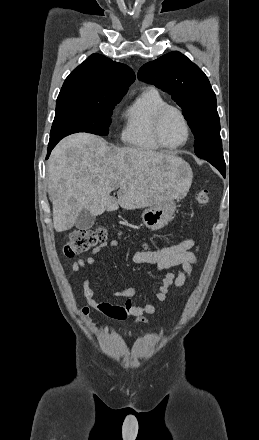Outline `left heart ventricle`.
Returning a JSON list of instances; mask_svg holds the SVG:
<instances>
[{
  "label": "left heart ventricle",
  "instance_id": "left-heart-ventricle-1",
  "mask_svg": "<svg viewBox=\"0 0 259 440\" xmlns=\"http://www.w3.org/2000/svg\"><path fill=\"white\" fill-rule=\"evenodd\" d=\"M161 135L167 145L174 146L186 137V130L179 115L174 111H169L161 125Z\"/></svg>",
  "mask_w": 259,
  "mask_h": 440
}]
</instances>
